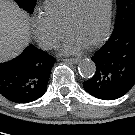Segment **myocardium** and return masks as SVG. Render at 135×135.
I'll return each mask as SVG.
<instances>
[{"instance_id":"1","label":"myocardium","mask_w":135,"mask_h":135,"mask_svg":"<svg viewBox=\"0 0 135 135\" xmlns=\"http://www.w3.org/2000/svg\"><path fill=\"white\" fill-rule=\"evenodd\" d=\"M85 0H78L74 6V9L68 16L65 25H64V30L65 33L68 31L69 25L79 16L82 5ZM112 12H113V0H108V9H107V17H106V24L104 27L103 32L92 42L88 43L86 47H94L99 44H101L109 35L110 30H111V25H112Z\"/></svg>"}]
</instances>
